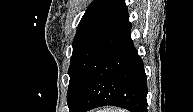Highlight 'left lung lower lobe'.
I'll list each match as a JSON object with an SVG mask.
<instances>
[{
  "instance_id": "0a47b994",
  "label": "left lung lower lobe",
  "mask_w": 193,
  "mask_h": 112,
  "mask_svg": "<svg viewBox=\"0 0 193 112\" xmlns=\"http://www.w3.org/2000/svg\"><path fill=\"white\" fill-rule=\"evenodd\" d=\"M127 8L83 49L70 74V112L113 105L147 112L143 62L131 39Z\"/></svg>"
}]
</instances>
